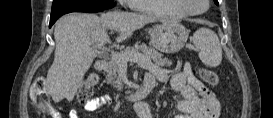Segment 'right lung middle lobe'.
Listing matches in <instances>:
<instances>
[{
    "label": "right lung middle lobe",
    "instance_id": "right-lung-middle-lobe-1",
    "mask_svg": "<svg viewBox=\"0 0 273 118\" xmlns=\"http://www.w3.org/2000/svg\"><path fill=\"white\" fill-rule=\"evenodd\" d=\"M60 4L98 11H103L116 5L114 0H54L52 6Z\"/></svg>",
    "mask_w": 273,
    "mask_h": 118
}]
</instances>
